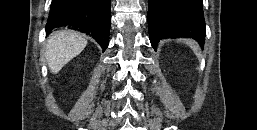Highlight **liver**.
<instances>
[{
	"label": "liver",
	"mask_w": 257,
	"mask_h": 130,
	"mask_svg": "<svg viewBox=\"0 0 257 130\" xmlns=\"http://www.w3.org/2000/svg\"><path fill=\"white\" fill-rule=\"evenodd\" d=\"M87 40L78 32L62 30L52 33L46 46L45 57L50 71L58 73L86 47Z\"/></svg>",
	"instance_id": "liver-1"
}]
</instances>
